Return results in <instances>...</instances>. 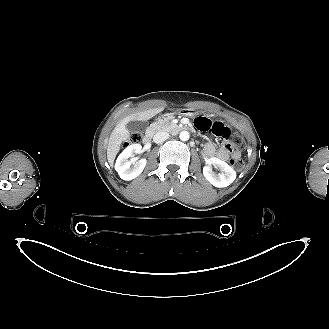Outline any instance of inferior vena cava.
Returning <instances> with one entry per match:
<instances>
[{"mask_svg":"<svg viewBox=\"0 0 329 329\" xmlns=\"http://www.w3.org/2000/svg\"><path fill=\"white\" fill-rule=\"evenodd\" d=\"M169 138V133L164 132V131H160L157 132L154 137H153V141L157 144L163 143L165 140H167Z\"/></svg>","mask_w":329,"mask_h":329,"instance_id":"inferior-vena-cava-1","label":"inferior vena cava"}]
</instances>
